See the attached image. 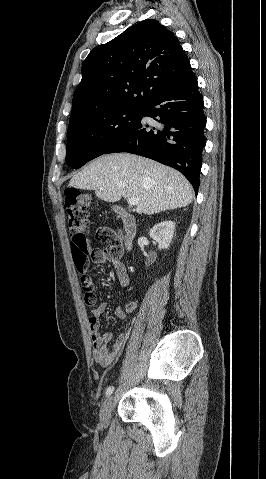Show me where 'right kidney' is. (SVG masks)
<instances>
[{
  "instance_id": "1",
  "label": "right kidney",
  "mask_w": 266,
  "mask_h": 479,
  "mask_svg": "<svg viewBox=\"0 0 266 479\" xmlns=\"http://www.w3.org/2000/svg\"><path fill=\"white\" fill-rule=\"evenodd\" d=\"M175 223L163 221L153 226L150 237L155 240L162 249H168L174 235Z\"/></svg>"
}]
</instances>
